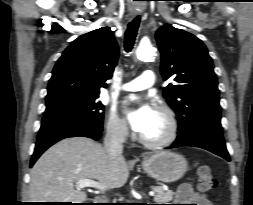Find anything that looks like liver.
Masks as SVG:
<instances>
[{
	"instance_id": "6515ba94",
	"label": "liver",
	"mask_w": 253,
	"mask_h": 205,
	"mask_svg": "<svg viewBox=\"0 0 253 205\" xmlns=\"http://www.w3.org/2000/svg\"><path fill=\"white\" fill-rule=\"evenodd\" d=\"M124 157H110L90 138H66L50 147L31 170L29 197L34 202L83 203L87 194L74 183L97 180L109 188H120L128 180Z\"/></svg>"
}]
</instances>
